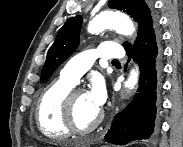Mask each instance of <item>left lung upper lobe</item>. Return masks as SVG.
<instances>
[{"label": "left lung upper lobe", "mask_w": 183, "mask_h": 147, "mask_svg": "<svg viewBox=\"0 0 183 147\" xmlns=\"http://www.w3.org/2000/svg\"><path fill=\"white\" fill-rule=\"evenodd\" d=\"M108 5L110 8L126 12L138 23L137 41L153 30L157 24L144 0H109ZM81 24L82 18L77 15L69 18L58 31L42 68L41 82L47 81L61 63L75 51L79 44ZM123 46L126 49L131 44L124 42Z\"/></svg>", "instance_id": "left-lung-upper-lobe-1"}]
</instances>
